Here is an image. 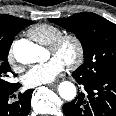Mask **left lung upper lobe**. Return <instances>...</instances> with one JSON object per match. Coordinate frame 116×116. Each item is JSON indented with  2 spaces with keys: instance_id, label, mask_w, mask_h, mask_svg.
Masks as SVG:
<instances>
[{
  "instance_id": "obj_1",
  "label": "left lung upper lobe",
  "mask_w": 116,
  "mask_h": 116,
  "mask_svg": "<svg viewBox=\"0 0 116 116\" xmlns=\"http://www.w3.org/2000/svg\"><path fill=\"white\" fill-rule=\"evenodd\" d=\"M49 21L74 33L81 42L84 64L76 70L78 75L97 78L116 73V24L90 12Z\"/></svg>"
}]
</instances>
